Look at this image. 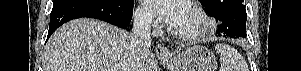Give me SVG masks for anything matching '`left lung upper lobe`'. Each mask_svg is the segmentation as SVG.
I'll return each mask as SVG.
<instances>
[{
    "label": "left lung upper lobe",
    "instance_id": "obj_1",
    "mask_svg": "<svg viewBox=\"0 0 301 71\" xmlns=\"http://www.w3.org/2000/svg\"><path fill=\"white\" fill-rule=\"evenodd\" d=\"M202 5L205 7L207 13L211 12L214 7L224 1H227V0H200ZM240 1L241 3L244 2V0H238Z\"/></svg>",
    "mask_w": 301,
    "mask_h": 71
}]
</instances>
